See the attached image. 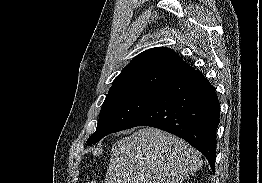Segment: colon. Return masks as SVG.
Returning a JSON list of instances; mask_svg holds the SVG:
<instances>
[{
  "mask_svg": "<svg viewBox=\"0 0 262 183\" xmlns=\"http://www.w3.org/2000/svg\"><path fill=\"white\" fill-rule=\"evenodd\" d=\"M85 183H99V182L94 179H87Z\"/></svg>",
  "mask_w": 262,
  "mask_h": 183,
  "instance_id": "obj_1",
  "label": "colon"
}]
</instances>
